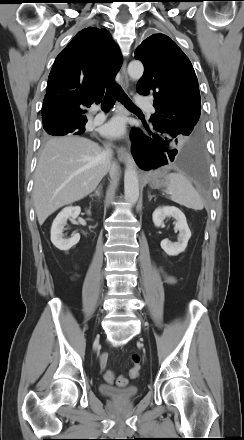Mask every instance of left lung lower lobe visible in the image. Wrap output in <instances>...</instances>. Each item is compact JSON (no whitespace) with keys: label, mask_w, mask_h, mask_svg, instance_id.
Returning a JSON list of instances; mask_svg holds the SVG:
<instances>
[{"label":"left lung lower lobe","mask_w":244,"mask_h":440,"mask_svg":"<svg viewBox=\"0 0 244 440\" xmlns=\"http://www.w3.org/2000/svg\"><path fill=\"white\" fill-rule=\"evenodd\" d=\"M144 125V129L133 128L131 140L132 154L137 165L144 170L156 169L173 162V165L193 178L204 181L206 176V156L203 134L190 139L182 147L166 136V132L155 121Z\"/></svg>","instance_id":"1"}]
</instances>
